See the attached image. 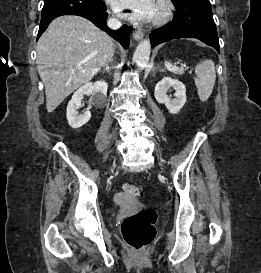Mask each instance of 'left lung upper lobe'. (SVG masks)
<instances>
[{"label":"left lung upper lobe","instance_id":"obj_1","mask_svg":"<svg viewBox=\"0 0 261 273\" xmlns=\"http://www.w3.org/2000/svg\"><path fill=\"white\" fill-rule=\"evenodd\" d=\"M176 1H179V0H172V2H176Z\"/></svg>","mask_w":261,"mask_h":273}]
</instances>
